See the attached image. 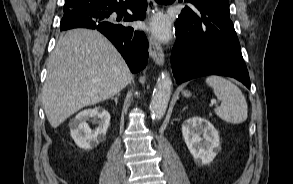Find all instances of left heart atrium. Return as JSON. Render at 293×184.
<instances>
[{"instance_id": "left-heart-atrium-1", "label": "left heart atrium", "mask_w": 293, "mask_h": 184, "mask_svg": "<svg viewBox=\"0 0 293 184\" xmlns=\"http://www.w3.org/2000/svg\"><path fill=\"white\" fill-rule=\"evenodd\" d=\"M152 31L159 37H166L168 35V25L162 18L155 19L151 24Z\"/></svg>"}]
</instances>
